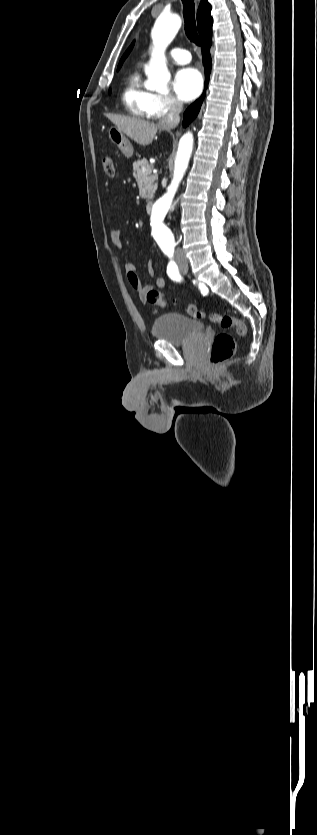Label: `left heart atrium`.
<instances>
[{
  "label": "left heart atrium",
  "mask_w": 317,
  "mask_h": 835,
  "mask_svg": "<svg viewBox=\"0 0 317 835\" xmlns=\"http://www.w3.org/2000/svg\"><path fill=\"white\" fill-rule=\"evenodd\" d=\"M202 86V76L195 68H182L175 74L173 88L178 97L183 101H190L196 98L201 93Z\"/></svg>",
  "instance_id": "obj_1"
}]
</instances>
